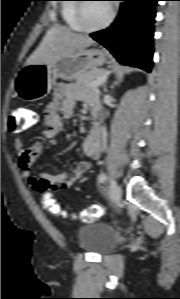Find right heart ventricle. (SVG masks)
Instances as JSON below:
<instances>
[{
	"instance_id": "1",
	"label": "right heart ventricle",
	"mask_w": 180,
	"mask_h": 299,
	"mask_svg": "<svg viewBox=\"0 0 180 299\" xmlns=\"http://www.w3.org/2000/svg\"><path fill=\"white\" fill-rule=\"evenodd\" d=\"M76 0H65L61 6V16L68 28L75 31H81L75 19Z\"/></svg>"
}]
</instances>
